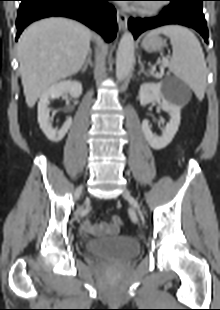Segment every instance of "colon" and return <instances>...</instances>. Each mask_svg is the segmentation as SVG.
Wrapping results in <instances>:
<instances>
[{
	"label": "colon",
	"mask_w": 220,
	"mask_h": 310,
	"mask_svg": "<svg viewBox=\"0 0 220 310\" xmlns=\"http://www.w3.org/2000/svg\"><path fill=\"white\" fill-rule=\"evenodd\" d=\"M111 220H112L113 229L117 231L121 225V218L118 216H113Z\"/></svg>",
	"instance_id": "1"
}]
</instances>
